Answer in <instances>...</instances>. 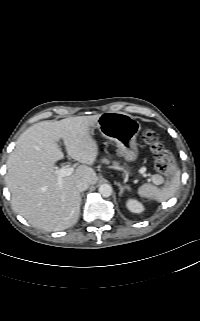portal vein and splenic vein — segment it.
<instances>
[{"mask_svg": "<svg viewBox=\"0 0 200 321\" xmlns=\"http://www.w3.org/2000/svg\"><path fill=\"white\" fill-rule=\"evenodd\" d=\"M73 171H74V168L70 167L68 165H65V166L61 167L60 169L55 170L54 174H56L58 177V185L62 184L63 177L71 175L73 173ZM145 171H146L145 167H142L140 169L141 173H144Z\"/></svg>", "mask_w": 200, "mask_h": 321, "instance_id": "18ae733b", "label": "portal vein and splenic vein"}]
</instances>
